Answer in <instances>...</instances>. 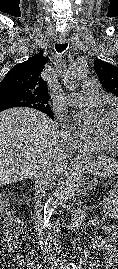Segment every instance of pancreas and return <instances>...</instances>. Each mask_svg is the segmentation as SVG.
I'll return each mask as SVG.
<instances>
[{"label": "pancreas", "mask_w": 118, "mask_h": 269, "mask_svg": "<svg viewBox=\"0 0 118 269\" xmlns=\"http://www.w3.org/2000/svg\"><path fill=\"white\" fill-rule=\"evenodd\" d=\"M96 184H102L101 186H99V189L101 190H111L112 186L114 184L113 180H107L106 177H101L100 179H96L95 180Z\"/></svg>", "instance_id": "1"}]
</instances>
